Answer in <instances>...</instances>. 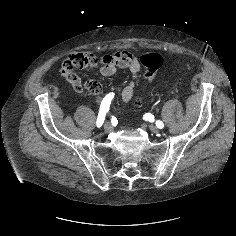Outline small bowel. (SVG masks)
<instances>
[{
	"instance_id": "small-bowel-1",
	"label": "small bowel",
	"mask_w": 236,
	"mask_h": 236,
	"mask_svg": "<svg viewBox=\"0 0 236 236\" xmlns=\"http://www.w3.org/2000/svg\"><path fill=\"white\" fill-rule=\"evenodd\" d=\"M65 62H69L73 69L64 73L63 76L78 93L83 91L84 84L75 73L76 69L99 66V72L104 77L114 75L118 69H128L132 78L123 88L121 97L124 101L132 99L139 79L141 64L139 59L128 51H115L100 56L91 52L77 51L72 53ZM85 87L94 94H100L103 91L102 85L93 80L87 81Z\"/></svg>"
}]
</instances>
